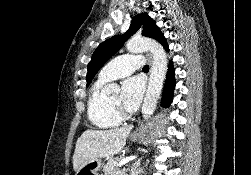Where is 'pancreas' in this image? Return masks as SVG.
<instances>
[{"label":"pancreas","instance_id":"obj_1","mask_svg":"<svg viewBox=\"0 0 251 175\" xmlns=\"http://www.w3.org/2000/svg\"><path fill=\"white\" fill-rule=\"evenodd\" d=\"M121 159H124L122 155H120V157H113V159H109L106 165H104L103 173H101V175H127V173H125V169L120 171L118 167V163H120Z\"/></svg>","mask_w":251,"mask_h":175}]
</instances>
